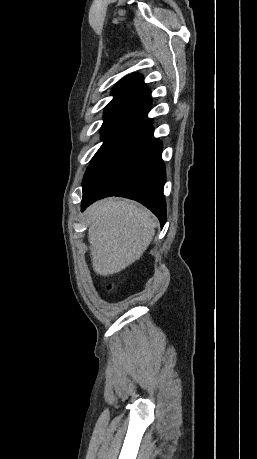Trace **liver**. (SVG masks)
<instances>
[{
	"instance_id": "1",
	"label": "liver",
	"mask_w": 257,
	"mask_h": 459,
	"mask_svg": "<svg viewBox=\"0 0 257 459\" xmlns=\"http://www.w3.org/2000/svg\"><path fill=\"white\" fill-rule=\"evenodd\" d=\"M88 214L93 270L101 276L119 273L137 261L155 235L151 213L127 200H101Z\"/></svg>"
}]
</instances>
